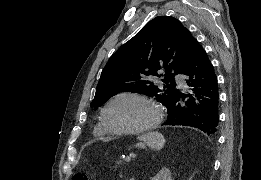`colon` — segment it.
I'll return each instance as SVG.
<instances>
[{
	"label": "colon",
	"mask_w": 261,
	"mask_h": 180,
	"mask_svg": "<svg viewBox=\"0 0 261 180\" xmlns=\"http://www.w3.org/2000/svg\"><path fill=\"white\" fill-rule=\"evenodd\" d=\"M74 180H87L88 177L85 173H76L74 174Z\"/></svg>",
	"instance_id": "colon-1"
}]
</instances>
